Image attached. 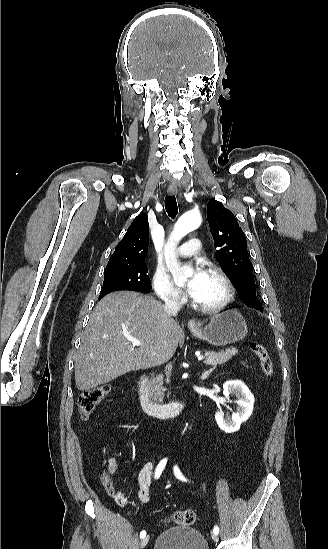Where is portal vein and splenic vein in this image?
<instances>
[{
  "mask_svg": "<svg viewBox=\"0 0 328 549\" xmlns=\"http://www.w3.org/2000/svg\"><path fill=\"white\" fill-rule=\"evenodd\" d=\"M128 341H131L132 345L134 347H139V345H142L138 339H131V337H127ZM201 359H205V356H199L198 361H201Z\"/></svg>",
  "mask_w": 328,
  "mask_h": 549,
  "instance_id": "portal-vein-and-splenic-vein-1",
  "label": "portal vein and splenic vein"
}]
</instances>
